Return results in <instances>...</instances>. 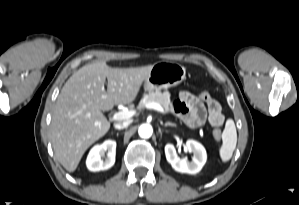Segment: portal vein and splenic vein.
Returning a JSON list of instances; mask_svg holds the SVG:
<instances>
[{"label": "portal vein and splenic vein", "mask_w": 299, "mask_h": 205, "mask_svg": "<svg viewBox=\"0 0 299 205\" xmlns=\"http://www.w3.org/2000/svg\"><path fill=\"white\" fill-rule=\"evenodd\" d=\"M147 108L149 109H154L156 111H159L163 114H165V110L164 108L159 104V103H156V102H151V103H148L146 105ZM136 111L135 110H130V111H119V112H116L113 116H112V119L115 120V121H120V120H125V119H129L131 118L133 115H135Z\"/></svg>", "instance_id": "portal-vein-and-splenic-vein-1"}]
</instances>
